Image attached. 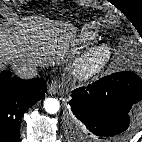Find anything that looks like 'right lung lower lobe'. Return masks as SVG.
<instances>
[{"label":"right lung lower lobe","instance_id":"right-lung-lower-lobe-1","mask_svg":"<svg viewBox=\"0 0 142 142\" xmlns=\"http://www.w3.org/2000/svg\"><path fill=\"white\" fill-rule=\"evenodd\" d=\"M46 81L22 80L10 71L0 73V142H18L24 112L44 97Z\"/></svg>","mask_w":142,"mask_h":142}]
</instances>
